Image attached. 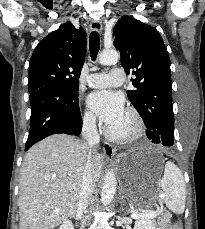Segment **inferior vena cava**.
I'll list each match as a JSON object with an SVG mask.
<instances>
[{
  "instance_id": "inferior-vena-cava-1",
  "label": "inferior vena cava",
  "mask_w": 205,
  "mask_h": 229,
  "mask_svg": "<svg viewBox=\"0 0 205 229\" xmlns=\"http://www.w3.org/2000/svg\"><path fill=\"white\" fill-rule=\"evenodd\" d=\"M82 136L88 142L89 153L85 163L83 180L81 190L79 193V202L77 208V212L79 214H83V212L87 209L96 186L92 164V152L96 151L100 139L96 126V118L94 115H88L84 117L82 126Z\"/></svg>"
}]
</instances>
